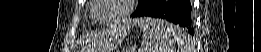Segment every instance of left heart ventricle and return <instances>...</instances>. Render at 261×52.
Returning a JSON list of instances; mask_svg holds the SVG:
<instances>
[{"instance_id":"b2bd125f","label":"left heart ventricle","mask_w":261,"mask_h":52,"mask_svg":"<svg viewBox=\"0 0 261 52\" xmlns=\"http://www.w3.org/2000/svg\"><path fill=\"white\" fill-rule=\"evenodd\" d=\"M104 5L98 10L97 18L100 20H112L124 9L123 0H103Z\"/></svg>"}]
</instances>
